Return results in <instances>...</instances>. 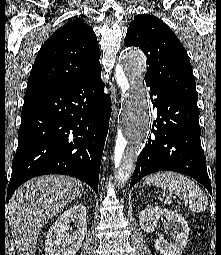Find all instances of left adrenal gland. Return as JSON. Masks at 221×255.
Wrapping results in <instances>:
<instances>
[{
	"label": "left adrenal gland",
	"mask_w": 221,
	"mask_h": 255,
	"mask_svg": "<svg viewBox=\"0 0 221 255\" xmlns=\"http://www.w3.org/2000/svg\"><path fill=\"white\" fill-rule=\"evenodd\" d=\"M139 195L144 196L141 192H139Z\"/></svg>",
	"instance_id": "1"
}]
</instances>
